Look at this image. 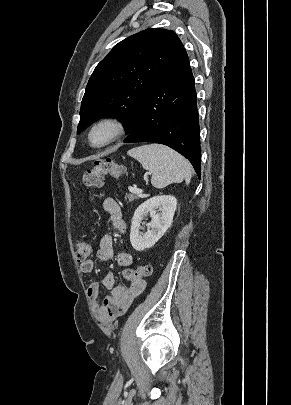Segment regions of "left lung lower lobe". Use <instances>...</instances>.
<instances>
[{
	"label": "left lung lower lobe",
	"mask_w": 291,
	"mask_h": 405,
	"mask_svg": "<svg viewBox=\"0 0 291 405\" xmlns=\"http://www.w3.org/2000/svg\"><path fill=\"white\" fill-rule=\"evenodd\" d=\"M197 94L185 48L151 87L125 143H160L186 157L201 176Z\"/></svg>",
	"instance_id": "obj_1"
}]
</instances>
